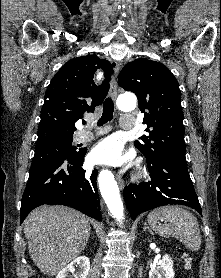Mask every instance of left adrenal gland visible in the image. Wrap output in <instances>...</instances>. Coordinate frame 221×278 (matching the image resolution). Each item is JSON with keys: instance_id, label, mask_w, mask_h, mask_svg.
<instances>
[{"instance_id": "1", "label": "left adrenal gland", "mask_w": 221, "mask_h": 278, "mask_svg": "<svg viewBox=\"0 0 221 278\" xmlns=\"http://www.w3.org/2000/svg\"><path fill=\"white\" fill-rule=\"evenodd\" d=\"M147 229H149L148 227H147V224H145V226H144V228H143V231H146ZM149 232L151 233V234H153L152 233V231L149 229Z\"/></svg>"}]
</instances>
